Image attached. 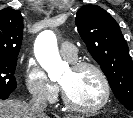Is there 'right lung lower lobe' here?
I'll return each mask as SVG.
<instances>
[{
  "label": "right lung lower lobe",
  "instance_id": "98d812e1",
  "mask_svg": "<svg viewBox=\"0 0 133 118\" xmlns=\"http://www.w3.org/2000/svg\"><path fill=\"white\" fill-rule=\"evenodd\" d=\"M9 95L7 96H0V99H7Z\"/></svg>",
  "mask_w": 133,
  "mask_h": 118
}]
</instances>
